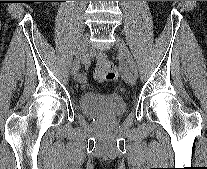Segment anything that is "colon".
<instances>
[{
    "mask_svg": "<svg viewBox=\"0 0 207 169\" xmlns=\"http://www.w3.org/2000/svg\"><path fill=\"white\" fill-rule=\"evenodd\" d=\"M94 78L99 82L114 84L119 81V73L116 66L110 59L100 55L96 61Z\"/></svg>",
    "mask_w": 207,
    "mask_h": 169,
    "instance_id": "colon-1",
    "label": "colon"
}]
</instances>
